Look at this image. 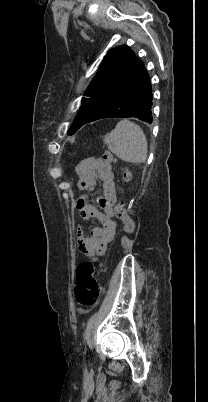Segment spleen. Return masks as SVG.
Instances as JSON below:
<instances>
[{
	"instance_id": "1",
	"label": "spleen",
	"mask_w": 208,
	"mask_h": 402,
	"mask_svg": "<svg viewBox=\"0 0 208 402\" xmlns=\"http://www.w3.org/2000/svg\"><path fill=\"white\" fill-rule=\"evenodd\" d=\"M104 144L123 162L142 164L147 160L146 136L140 126L129 122L128 118L118 122L115 130L104 136Z\"/></svg>"
}]
</instances>
